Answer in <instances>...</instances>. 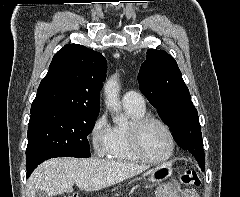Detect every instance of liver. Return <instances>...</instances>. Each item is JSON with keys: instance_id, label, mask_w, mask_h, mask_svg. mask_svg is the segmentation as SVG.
Returning a JSON list of instances; mask_svg holds the SVG:
<instances>
[{"instance_id": "1", "label": "liver", "mask_w": 240, "mask_h": 197, "mask_svg": "<svg viewBox=\"0 0 240 197\" xmlns=\"http://www.w3.org/2000/svg\"><path fill=\"white\" fill-rule=\"evenodd\" d=\"M148 166L104 159L53 158L40 164L27 182V197H36L37 190L49 196L73 192L76 184L81 190H100L145 170Z\"/></svg>"}]
</instances>
